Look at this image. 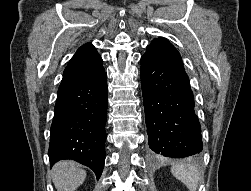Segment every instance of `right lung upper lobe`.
<instances>
[{"label": "right lung upper lobe", "instance_id": "cb5924a9", "mask_svg": "<svg viewBox=\"0 0 251 191\" xmlns=\"http://www.w3.org/2000/svg\"><path fill=\"white\" fill-rule=\"evenodd\" d=\"M104 73L101 56L91 43H86L69 61L58 92L89 82Z\"/></svg>", "mask_w": 251, "mask_h": 191}]
</instances>
